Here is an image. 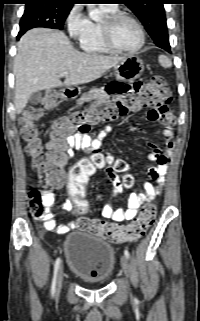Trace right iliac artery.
Masks as SVG:
<instances>
[{
  "instance_id": "1",
  "label": "right iliac artery",
  "mask_w": 200,
  "mask_h": 321,
  "mask_svg": "<svg viewBox=\"0 0 200 321\" xmlns=\"http://www.w3.org/2000/svg\"><path fill=\"white\" fill-rule=\"evenodd\" d=\"M60 264H61V258L58 257L56 259L55 265H54V276H53L52 285H51V295H52V297L55 295V292H56V279H57V273H58Z\"/></svg>"
}]
</instances>
